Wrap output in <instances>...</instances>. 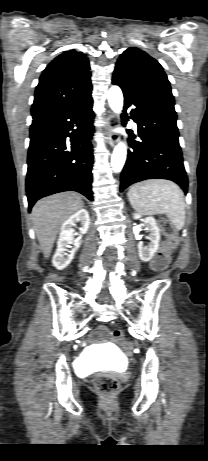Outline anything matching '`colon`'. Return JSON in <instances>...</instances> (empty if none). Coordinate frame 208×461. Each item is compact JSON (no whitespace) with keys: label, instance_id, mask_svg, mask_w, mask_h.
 I'll use <instances>...</instances> for the list:
<instances>
[{"label":"colon","instance_id":"1","mask_svg":"<svg viewBox=\"0 0 208 461\" xmlns=\"http://www.w3.org/2000/svg\"><path fill=\"white\" fill-rule=\"evenodd\" d=\"M159 227L166 236L167 243L160 248L153 261L155 269H162L167 264L170 252L177 244L176 231L169 220L160 218ZM113 335L118 341H125L124 333L121 330H115ZM94 388L102 396L108 397L118 390L119 381L111 375L99 374L94 380Z\"/></svg>","mask_w":208,"mask_h":461}]
</instances>
